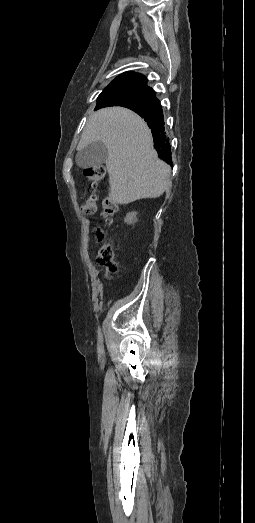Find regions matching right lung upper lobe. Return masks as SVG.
<instances>
[{"label": "right lung upper lobe", "instance_id": "cb5924a9", "mask_svg": "<svg viewBox=\"0 0 255 523\" xmlns=\"http://www.w3.org/2000/svg\"><path fill=\"white\" fill-rule=\"evenodd\" d=\"M125 90H142L147 94V99L143 102H118L112 101L104 96L109 92H119ZM108 106L127 107L145 119L151 128L154 147L158 152L159 158L172 164L171 147L165 135L163 112L159 100L155 97L154 90L147 86L145 76L134 72H125L113 80L98 97V104L95 110Z\"/></svg>", "mask_w": 255, "mask_h": 523}]
</instances>
